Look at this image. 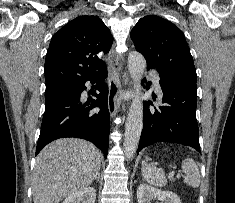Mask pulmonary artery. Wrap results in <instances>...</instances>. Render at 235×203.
Returning <instances> with one entry per match:
<instances>
[{
	"label": "pulmonary artery",
	"mask_w": 235,
	"mask_h": 203,
	"mask_svg": "<svg viewBox=\"0 0 235 203\" xmlns=\"http://www.w3.org/2000/svg\"><path fill=\"white\" fill-rule=\"evenodd\" d=\"M151 78L153 80L154 86L156 88V90L161 93V86L159 83V77L156 74H151Z\"/></svg>",
	"instance_id": "e3ab8cb5"
}]
</instances>
